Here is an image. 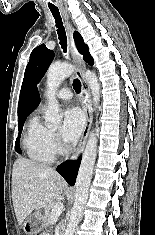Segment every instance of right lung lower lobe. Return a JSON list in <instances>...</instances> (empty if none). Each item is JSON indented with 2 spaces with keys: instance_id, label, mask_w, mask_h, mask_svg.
<instances>
[{
  "instance_id": "right-lung-lower-lobe-1",
  "label": "right lung lower lobe",
  "mask_w": 155,
  "mask_h": 235,
  "mask_svg": "<svg viewBox=\"0 0 155 235\" xmlns=\"http://www.w3.org/2000/svg\"><path fill=\"white\" fill-rule=\"evenodd\" d=\"M81 158H79L76 161H68L62 165H60L57 168V172L61 174L64 179L68 182L70 185H74L79 169Z\"/></svg>"
}]
</instances>
